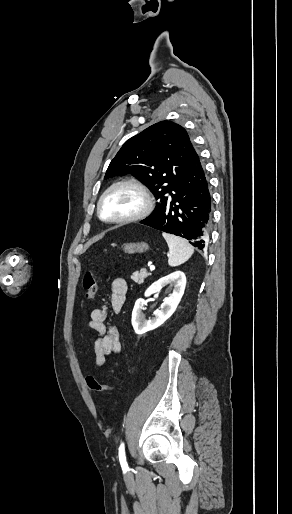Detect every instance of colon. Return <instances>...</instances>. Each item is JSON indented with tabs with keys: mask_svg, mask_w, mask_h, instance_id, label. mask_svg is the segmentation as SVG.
<instances>
[{
	"mask_svg": "<svg viewBox=\"0 0 292 514\" xmlns=\"http://www.w3.org/2000/svg\"><path fill=\"white\" fill-rule=\"evenodd\" d=\"M83 289H84V297L87 300H91L96 296L97 293V282L96 278L92 271H87L84 279H83ZM85 381L87 382V385L92 387L95 391L100 392L102 390H112L115 387V384H104L101 385L99 382H97L94 378L93 373H86L85 374Z\"/></svg>",
	"mask_w": 292,
	"mask_h": 514,
	"instance_id": "1",
	"label": "colon"
}]
</instances>
